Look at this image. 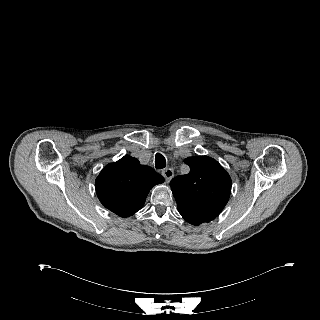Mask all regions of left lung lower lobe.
<instances>
[{
	"label": "left lung lower lobe",
	"instance_id": "obj_1",
	"mask_svg": "<svg viewBox=\"0 0 320 320\" xmlns=\"http://www.w3.org/2000/svg\"><path fill=\"white\" fill-rule=\"evenodd\" d=\"M178 207V211L181 214V216L189 223H191L192 225H200L204 222H210L211 220H213L214 218L208 217V216H204V215H198L190 210H187L185 208H182L180 206Z\"/></svg>",
	"mask_w": 320,
	"mask_h": 320
}]
</instances>
